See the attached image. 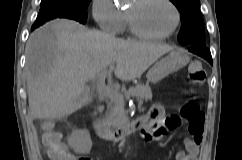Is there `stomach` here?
Listing matches in <instances>:
<instances>
[{
	"label": "stomach",
	"instance_id": "1",
	"mask_svg": "<svg viewBox=\"0 0 242 160\" xmlns=\"http://www.w3.org/2000/svg\"><path fill=\"white\" fill-rule=\"evenodd\" d=\"M189 61L190 59L184 51L172 50L150 68L147 73V79L151 83H158L170 73L183 68Z\"/></svg>",
	"mask_w": 242,
	"mask_h": 160
}]
</instances>
